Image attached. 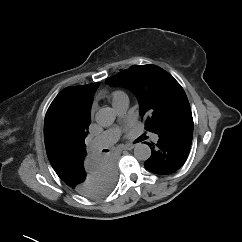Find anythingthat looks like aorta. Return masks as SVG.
I'll return each mask as SVG.
<instances>
[{
  "mask_svg": "<svg viewBox=\"0 0 242 242\" xmlns=\"http://www.w3.org/2000/svg\"><path fill=\"white\" fill-rule=\"evenodd\" d=\"M115 119H116L115 110L110 107L101 108L95 114V120L97 124L102 127H108L112 125ZM134 156L138 160L146 161L151 156V149L147 144L137 143L134 147Z\"/></svg>",
  "mask_w": 242,
  "mask_h": 242,
  "instance_id": "obj_1",
  "label": "aorta"
}]
</instances>
